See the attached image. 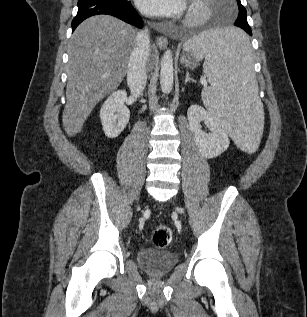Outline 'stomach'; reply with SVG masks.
Masks as SVG:
<instances>
[{
  "mask_svg": "<svg viewBox=\"0 0 307 317\" xmlns=\"http://www.w3.org/2000/svg\"><path fill=\"white\" fill-rule=\"evenodd\" d=\"M181 62L188 68L194 69L196 68L197 64L193 61H191L190 57L187 55H183L181 58Z\"/></svg>",
  "mask_w": 307,
  "mask_h": 317,
  "instance_id": "obj_1",
  "label": "stomach"
}]
</instances>
